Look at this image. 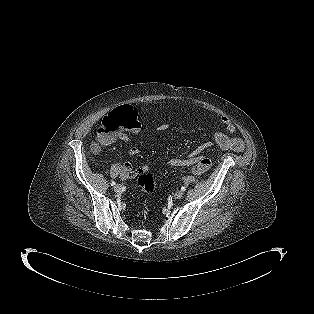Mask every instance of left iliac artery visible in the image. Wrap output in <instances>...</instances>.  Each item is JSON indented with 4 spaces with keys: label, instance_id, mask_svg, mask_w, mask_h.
I'll use <instances>...</instances> for the list:
<instances>
[{
    "label": "left iliac artery",
    "instance_id": "1",
    "mask_svg": "<svg viewBox=\"0 0 314 314\" xmlns=\"http://www.w3.org/2000/svg\"><path fill=\"white\" fill-rule=\"evenodd\" d=\"M186 190V187L185 186H182L181 187V191H185Z\"/></svg>",
    "mask_w": 314,
    "mask_h": 314
}]
</instances>
